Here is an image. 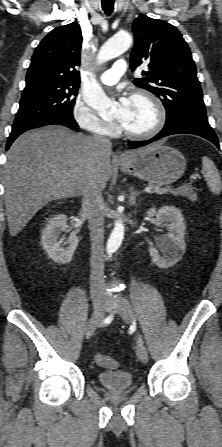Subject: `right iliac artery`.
I'll use <instances>...</instances> for the list:
<instances>
[{
	"mask_svg": "<svg viewBox=\"0 0 222 447\" xmlns=\"http://www.w3.org/2000/svg\"><path fill=\"white\" fill-rule=\"evenodd\" d=\"M111 320H112V316H109V317L106 319L107 322H110Z\"/></svg>",
	"mask_w": 222,
	"mask_h": 447,
	"instance_id": "1",
	"label": "right iliac artery"
}]
</instances>
